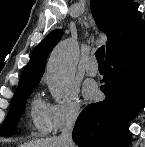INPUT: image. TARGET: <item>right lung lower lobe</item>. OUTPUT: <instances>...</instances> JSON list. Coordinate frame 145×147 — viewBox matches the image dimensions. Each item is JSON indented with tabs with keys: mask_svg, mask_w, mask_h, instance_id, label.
Instances as JSON below:
<instances>
[{
	"mask_svg": "<svg viewBox=\"0 0 145 147\" xmlns=\"http://www.w3.org/2000/svg\"><path fill=\"white\" fill-rule=\"evenodd\" d=\"M102 82L105 100L80 113L72 138L80 147H125L131 136L124 116L132 118L144 106L145 23L106 54Z\"/></svg>",
	"mask_w": 145,
	"mask_h": 147,
	"instance_id": "1",
	"label": "right lung lower lobe"
}]
</instances>
